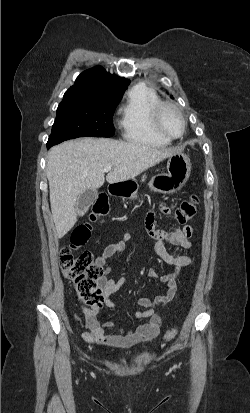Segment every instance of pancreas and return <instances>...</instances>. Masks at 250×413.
Listing matches in <instances>:
<instances>
[{
	"label": "pancreas",
	"mask_w": 250,
	"mask_h": 413,
	"mask_svg": "<svg viewBox=\"0 0 250 413\" xmlns=\"http://www.w3.org/2000/svg\"><path fill=\"white\" fill-rule=\"evenodd\" d=\"M145 178H146V176H145V175H143V176H142V182H144V181H145Z\"/></svg>",
	"instance_id": "obj_1"
}]
</instances>
